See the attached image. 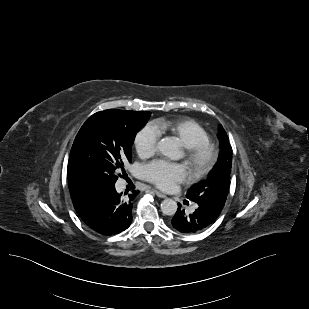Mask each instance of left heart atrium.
Masks as SVG:
<instances>
[{
	"label": "left heart atrium",
	"instance_id": "39dd6f15",
	"mask_svg": "<svg viewBox=\"0 0 309 309\" xmlns=\"http://www.w3.org/2000/svg\"><path fill=\"white\" fill-rule=\"evenodd\" d=\"M139 174L159 189L168 191L184 181L188 171L184 164L159 159L142 165Z\"/></svg>",
	"mask_w": 309,
	"mask_h": 309
}]
</instances>
